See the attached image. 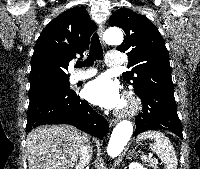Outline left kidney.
I'll list each match as a JSON object with an SVG mask.
<instances>
[{
  "label": "left kidney",
  "instance_id": "obj_1",
  "mask_svg": "<svg viewBox=\"0 0 200 169\" xmlns=\"http://www.w3.org/2000/svg\"><path fill=\"white\" fill-rule=\"evenodd\" d=\"M129 169H147V168L143 167L138 162H132V163L129 164Z\"/></svg>",
  "mask_w": 200,
  "mask_h": 169
}]
</instances>
